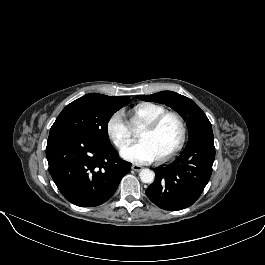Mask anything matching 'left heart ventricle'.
<instances>
[{
    "label": "left heart ventricle",
    "instance_id": "b2bd125f",
    "mask_svg": "<svg viewBox=\"0 0 265 265\" xmlns=\"http://www.w3.org/2000/svg\"><path fill=\"white\" fill-rule=\"evenodd\" d=\"M181 136V127L174 117H169L155 131L142 130L139 138L149 143L159 157L172 149Z\"/></svg>",
    "mask_w": 265,
    "mask_h": 265
}]
</instances>
